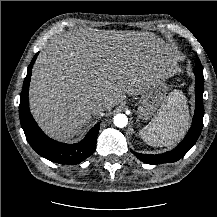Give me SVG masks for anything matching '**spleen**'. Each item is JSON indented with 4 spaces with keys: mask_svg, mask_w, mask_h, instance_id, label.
Here are the masks:
<instances>
[{
    "mask_svg": "<svg viewBox=\"0 0 217 217\" xmlns=\"http://www.w3.org/2000/svg\"><path fill=\"white\" fill-rule=\"evenodd\" d=\"M188 123L186 101L178 91L171 92L152 121L139 134L152 146H171Z\"/></svg>",
    "mask_w": 217,
    "mask_h": 217,
    "instance_id": "obj_1",
    "label": "spleen"
}]
</instances>
